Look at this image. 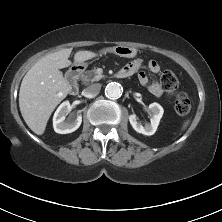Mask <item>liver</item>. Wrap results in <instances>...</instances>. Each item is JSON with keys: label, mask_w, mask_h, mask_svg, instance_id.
Segmentation results:
<instances>
[{"label": "liver", "mask_w": 222, "mask_h": 222, "mask_svg": "<svg viewBox=\"0 0 222 222\" xmlns=\"http://www.w3.org/2000/svg\"><path fill=\"white\" fill-rule=\"evenodd\" d=\"M71 48L50 53L35 63L24 76L19 91V107L28 127L42 135L56 106L68 95L71 88L59 69L69 67ZM97 54L79 51L75 62L92 59Z\"/></svg>", "instance_id": "obj_1"}]
</instances>
